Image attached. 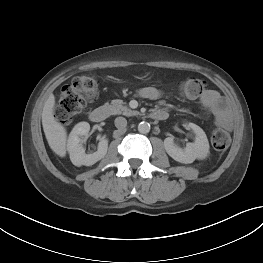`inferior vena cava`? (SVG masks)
Returning a JSON list of instances; mask_svg holds the SVG:
<instances>
[{
  "instance_id": "1",
  "label": "inferior vena cava",
  "mask_w": 263,
  "mask_h": 263,
  "mask_svg": "<svg viewBox=\"0 0 263 263\" xmlns=\"http://www.w3.org/2000/svg\"><path fill=\"white\" fill-rule=\"evenodd\" d=\"M114 123L119 130H124L127 126V120L124 117H117Z\"/></svg>"
}]
</instances>
